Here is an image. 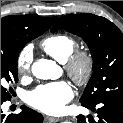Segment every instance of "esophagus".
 <instances>
[{
	"mask_svg": "<svg viewBox=\"0 0 123 123\" xmlns=\"http://www.w3.org/2000/svg\"><path fill=\"white\" fill-rule=\"evenodd\" d=\"M45 120L48 122L55 123V122L62 120V118L46 116Z\"/></svg>",
	"mask_w": 123,
	"mask_h": 123,
	"instance_id": "obj_1",
	"label": "esophagus"
}]
</instances>
